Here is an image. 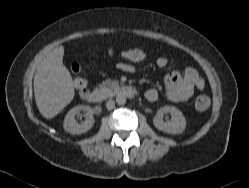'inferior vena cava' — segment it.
I'll return each instance as SVG.
<instances>
[{
    "mask_svg": "<svg viewBox=\"0 0 249 188\" xmlns=\"http://www.w3.org/2000/svg\"><path fill=\"white\" fill-rule=\"evenodd\" d=\"M114 107H115V101L112 100V99H109V100L106 102V108H107L108 110H112Z\"/></svg>",
    "mask_w": 249,
    "mask_h": 188,
    "instance_id": "inferior-vena-cava-1",
    "label": "inferior vena cava"
}]
</instances>
